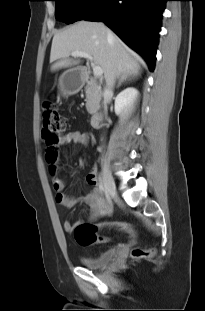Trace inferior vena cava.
I'll return each instance as SVG.
<instances>
[{
  "label": "inferior vena cava",
  "instance_id": "602c4592",
  "mask_svg": "<svg viewBox=\"0 0 205 311\" xmlns=\"http://www.w3.org/2000/svg\"><path fill=\"white\" fill-rule=\"evenodd\" d=\"M108 36H111V33H108ZM113 86H114V77L113 75H110L106 77V86L103 90L104 100L113 96Z\"/></svg>",
  "mask_w": 205,
  "mask_h": 311
}]
</instances>
